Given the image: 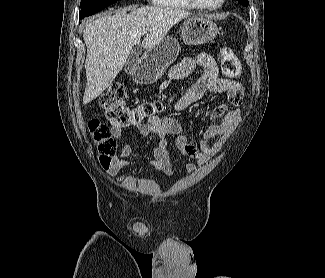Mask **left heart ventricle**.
I'll return each mask as SVG.
<instances>
[{
    "mask_svg": "<svg viewBox=\"0 0 325 278\" xmlns=\"http://www.w3.org/2000/svg\"><path fill=\"white\" fill-rule=\"evenodd\" d=\"M201 4L206 6H214L218 4L221 0H199Z\"/></svg>",
    "mask_w": 325,
    "mask_h": 278,
    "instance_id": "1",
    "label": "left heart ventricle"
}]
</instances>
